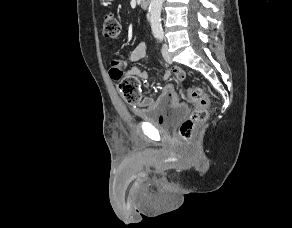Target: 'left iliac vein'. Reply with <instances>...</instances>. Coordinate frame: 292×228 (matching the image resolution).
Instances as JSON below:
<instances>
[{"instance_id":"4c4485c4","label":"left iliac vein","mask_w":292,"mask_h":228,"mask_svg":"<svg viewBox=\"0 0 292 228\" xmlns=\"http://www.w3.org/2000/svg\"><path fill=\"white\" fill-rule=\"evenodd\" d=\"M162 55H163V58L165 59L166 62H168V63L172 62V59H171L169 52H168L167 44H163V46H162Z\"/></svg>"}]
</instances>
